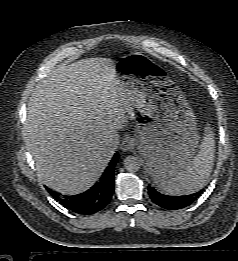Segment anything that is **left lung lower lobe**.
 <instances>
[{"mask_svg": "<svg viewBox=\"0 0 238 261\" xmlns=\"http://www.w3.org/2000/svg\"><path fill=\"white\" fill-rule=\"evenodd\" d=\"M148 193L154 203L167 210H178L192 204L199 193L186 196H168L158 192L154 187L148 186Z\"/></svg>", "mask_w": 238, "mask_h": 261, "instance_id": "0a47b994", "label": "left lung lower lobe"}]
</instances>
